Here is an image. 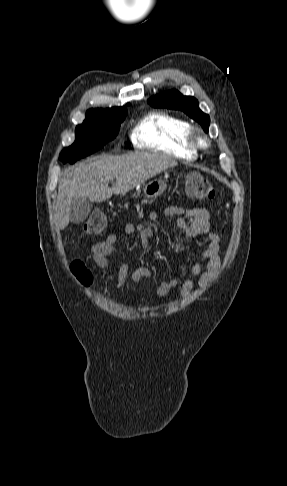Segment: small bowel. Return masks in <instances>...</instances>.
Wrapping results in <instances>:
<instances>
[{"label": "small bowel", "instance_id": "c3829d8e", "mask_svg": "<svg viewBox=\"0 0 287 486\" xmlns=\"http://www.w3.org/2000/svg\"><path fill=\"white\" fill-rule=\"evenodd\" d=\"M161 217L173 218L177 227L188 238L198 240L201 236H205V245H197L196 260L191 267L190 277L183 281L179 276L164 277L156 291L159 297H165L171 290L179 288L178 296L183 298L188 296L196 286L205 287L219 273L221 269V237L217 233L210 232V215L204 208L192 207L185 210L181 207L169 206L162 211L154 210L149 213L151 221H157ZM126 232L138 237L144 249L148 248L149 241L154 237V230L142 224H128ZM117 241L118 236L110 234L104 240L92 246L91 259L101 269H108V257L116 251ZM151 277L152 272L149 268L140 267L130 272L128 263L122 262L119 267L117 282L119 286H122L128 279L139 283L143 279Z\"/></svg>", "mask_w": 287, "mask_h": 486}]
</instances>
